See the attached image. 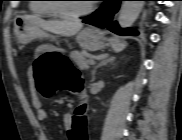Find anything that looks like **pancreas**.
<instances>
[{
    "instance_id": "cf45deb5",
    "label": "pancreas",
    "mask_w": 182,
    "mask_h": 140,
    "mask_svg": "<svg viewBox=\"0 0 182 140\" xmlns=\"http://www.w3.org/2000/svg\"><path fill=\"white\" fill-rule=\"evenodd\" d=\"M70 58L81 68H88V61L85 58V53L83 51H73L70 53Z\"/></svg>"
}]
</instances>
